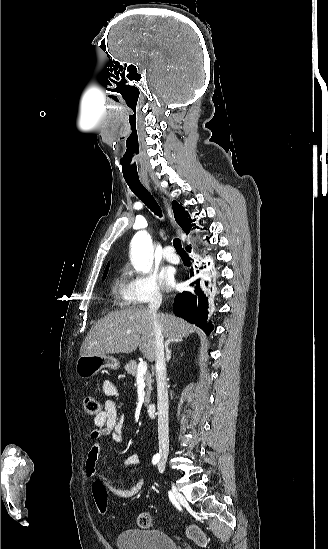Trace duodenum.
I'll use <instances>...</instances> for the list:
<instances>
[{
    "label": "duodenum",
    "instance_id": "obj_1",
    "mask_svg": "<svg viewBox=\"0 0 328 549\" xmlns=\"http://www.w3.org/2000/svg\"><path fill=\"white\" fill-rule=\"evenodd\" d=\"M146 410L150 417H155L157 414V406L154 403L147 404Z\"/></svg>",
    "mask_w": 328,
    "mask_h": 549
}]
</instances>
